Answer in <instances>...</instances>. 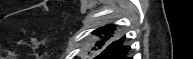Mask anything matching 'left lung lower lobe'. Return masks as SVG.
<instances>
[{"label":"left lung lower lobe","instance_id":"obj_1","mask_svg":"<svg viewBox=\"0 0 193 59\" xmlns=\"http://www.w3.org/2000/svg\"><path fill=\"white\" fill-rule=\"evenodd\" d=\"M125 37L115 42L110 48L104 50V52L98 57V59H129L126 57L130 48L128 46H122V42Z\"/></svg>","mask_w":193,"mask_h":59}]
</instances>
